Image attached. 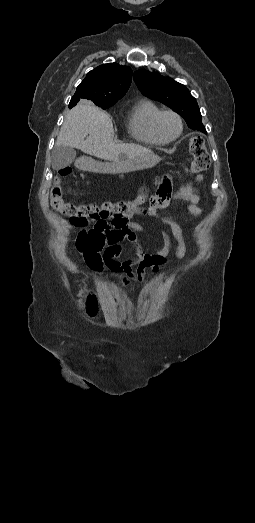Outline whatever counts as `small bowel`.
Segmentation results:
<instances>
[{"label": "small bowel", "instance_id": "obj_1", "mask_svg": "<svg viewBox=\"0 0 255 523\" xmlns=\"http://www.w3.org/2000/svg\"><path fill=\"white\" fill-rule=\"evenodd\" d=\"M202 177L197 176L196 181ZM174 199L180 200L185 208L193 216H200L203 212L202 201L196 192L193 183H186L174 194ZM172 196L168 192L164 198L154 197L150 206L135 208L125 216V222L120 226L108 222H95L92 228H81L75 238V247L86 264L95 272H101L107 267L113 272H125L128 276H135L132 267H137L136 278L143 280V272L151 268L154 274H158L165 258L171 251V238L165 228L159 226L162 237V247L153 252L143 250L139 235L147 234L146 228L138 222L132 221L134 217L144 216L159 220L169 227L172 237L176 241L175 256L179 260L186 257V244L180 225L169 217L159 215V210L167 208L171 204ZM74 226H81L74 224ZM124 242H128L127 248L132 251L133 256L126 260L121 257L126 249Z\"/></svg>", "mask_w": 255, "mask_h": 523}]
</instances>
